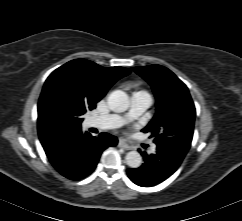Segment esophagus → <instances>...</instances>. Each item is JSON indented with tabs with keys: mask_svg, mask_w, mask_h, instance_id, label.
<instances>
[{
	"mask_svg": "<svg viewBox=\"0 0 242 221\" xmlns=\"http://www.w3.org/2000/svg\"><path fill=\"white\" fill-rule=\"evenodd\" d=\"M118 146L121 147V148H123V149H126V150H132L133 149L132 146L128 145L123 140H119Z\"/></svg>",
	"mask_w": 242,
	"mask_h": 221,
	"instance_id": "obj_1",
	"label": "esophagus"
}]
</instances>
